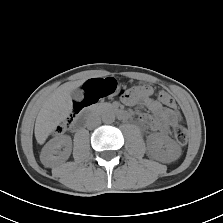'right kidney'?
<instances>
[{
  "label": "right kidney",
  "mask_w": 223,
  "mask_h": 223,
  "mask_svg": "<svg viewBox=\"0 0 223 223\" xmlns=\"http://www.w3.org/2000/svg\"><path fill=\"white\" fill-rule=\"evenodd\" d=\"M72 151V140L67 135L56 137L47 143L41 152L40 158L45 166L51 167L56 162L66 161Z\"/></svg>",
  "instance_id": "obj_1"
}]
</instances>
